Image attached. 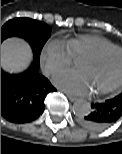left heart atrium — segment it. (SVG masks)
Wrapping results in <instances>:
<instances>
[{"label":"left heart atrium","instance_id":"1","mask_svg":"<svg viewBox=\"0 0 122 154\" xmlns=\"http://www.w3.org/2000/svg\"><path fill=\"white\" fill-rule=\"evenodd\" d=\"M54 83L74 95H88L92 92L86 74L81 70H63L53 77Z\"/></svg>","mask_w":122,"mask_h":154}]
</instances>
